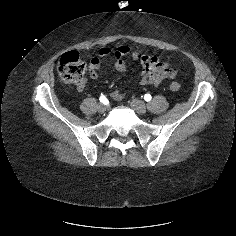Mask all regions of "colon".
I'll use <instances>...</instances> for the list:
<instances>
[{"label": "colon", "instance_id": "1", "mask_svg": "<svg viewBox=\"0 0 236 236\" xmlns=\"http://www.w3.org/2000/svg\"><path fill=\"white\" fill-rule=\"evenodd\" d=\"M57 69L60 77L65 82L76 86L85 83L87 65L76 51H69L63 54L58 61ZM180 88L181 85L178 82L170 84V89L172 91H177Z\"/></svg>", "mask_w": 236, "mask_h": 236}]
</instances>
